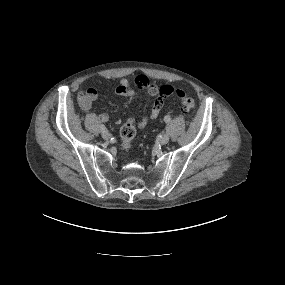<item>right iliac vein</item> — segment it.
Listing matches in <instances>:
<instances>
[{
	"label": "right iliac vein",
	"instance_id": "obj_1",
	"mask_svg": "<svg viewBox=\"0 0 285 285\" xmlns=\"http://www.w3.org/2000/svg\"><path fill=\"white\" fill-rule=\"evenodd\" d=\"M101 135H102V138L105 140H109L111 138V134L107 130L102 131Z\"/></svg>",
	"mask_w": 285,
	"mask_h": 285
}]
</instances>
